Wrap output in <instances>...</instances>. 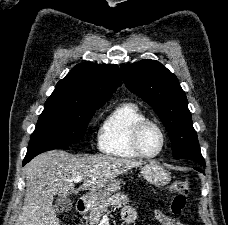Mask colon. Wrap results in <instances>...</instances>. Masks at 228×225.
I'll use <instances>...</instances> for the list:
<instances>
[{
	"instance_id": "obj_1",
	"label": "colon",
	"mask_w": 228,
	"mask_h": 225,
	"mask_svg": "<svg viewBox=\"0 0 228 225\" xmlns=\"http://www.w3.org/2000/svg\"><path fill=\"white\" fill-rule=\"evenodd\" d=\"M171 194L173 195L170 204V214L174 217H180L185 209L186 198L189 193V184L187 180L178 179L172 182L170 187Z\"/></svg>"
}]
</instances>
